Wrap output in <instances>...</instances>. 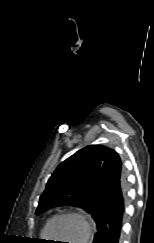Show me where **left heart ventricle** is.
Returning <instances> with one entry per match:
<instances>
[{"instance_id":"obj_1","label":"left heart ventricle","mask_w":154,"mask_h":243,"mask_svg":"<svg viewBox=\"0 0 154 243\" xmlns=\"http://www.w3.org/2000/svg\"><path fill=\"white\" fill-rule=\"evenodd\" d=\"M49 236L57 239L69 238V243H79L82 236L81 223L74 218H59L55 220L49 230ZM60 243V241H56Z\"/></svg>"}]
</instances>
